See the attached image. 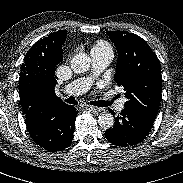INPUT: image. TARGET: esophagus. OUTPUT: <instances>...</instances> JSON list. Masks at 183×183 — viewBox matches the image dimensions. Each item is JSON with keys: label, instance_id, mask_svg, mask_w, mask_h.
I'll return each mask as SVG.
<instances>
[{"label": "esophagus", "instance_id": "obj_1", "mask_svg": "<svg viewBox=\"0 0 183 183\" xmlns=\"http://www.w3.org/2000/svg\"><path fill=\"white\" fill-rule=\"evenodd\" d=\"M84 108L96 114L101 111L100 108L91 105H85Z\"/></svg>", "mask_w": 183, "mask_h": 183}]
</instances>
